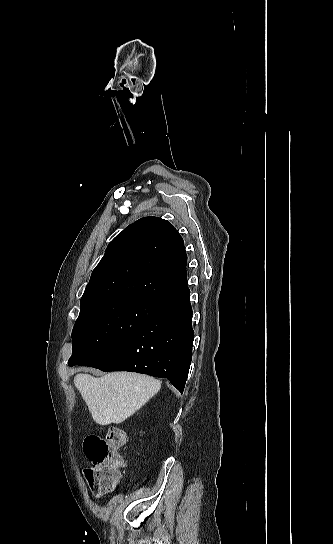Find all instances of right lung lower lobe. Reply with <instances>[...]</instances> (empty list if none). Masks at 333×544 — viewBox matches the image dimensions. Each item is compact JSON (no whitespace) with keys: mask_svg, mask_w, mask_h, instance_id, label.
Segmentation results:
<instances>
[{"mask_svg":"<svg viewBox=\"0 0 333 544\" xmlns=\"http://www.w3.org/2000/svg\"><path fill=\"white\" fill-rule=\"evenodd\" d=\"M193 339L192 309L187 294L170 301L132 336L78 365L167 378L183 392Z\"/></svg>","mask_w":333,"mask_h":544,"instance_id":"1","label":"right lung lower lobe"}]
</instances>
